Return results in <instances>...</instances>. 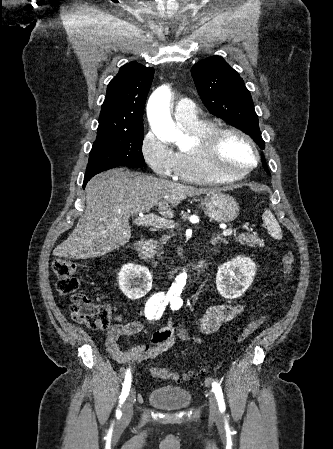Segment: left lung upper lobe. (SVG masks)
I'll return each instance as SVG.
<instances>
[{
  "instance_id": "1",
  "label": "left lung upper lobe",
  "mask_w": 333,
  "mask_h": 449,
  "mask_svg": "<svg viewBox=\"0 0 333 449\" xmlns=\"http://www.w3.org/2000/svg\"><path fill=\"white\" fill-rule=\"evenodd\" d=\"M191 73L207 109L249 134L264 149L258 116L250 92L240 75L220 56L198 62L192 67Z\"/></svg>"
}]
</instances>
